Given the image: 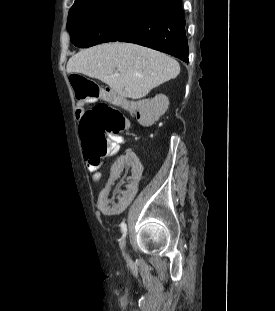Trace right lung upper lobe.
<instances>
[{"mask_svg": "<svg viewBox=\"0 0 275 311\" xmlns=\"http://www.w3.org/2000/svg\"><path fill=\"white\" fill-rule=\"evenodd\" d=\"M79 1H82V0H75V2H79ZM157 1H160L161 3H167L172 0H157Z\"/></svg>", "mask_w": 275, "mask_h": 311, "instance_id": "right-lung-upper-lobe-1", "label": "right lung upper lobe"}]
</instances>
